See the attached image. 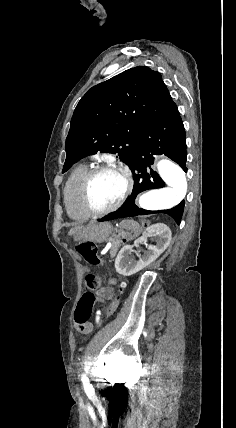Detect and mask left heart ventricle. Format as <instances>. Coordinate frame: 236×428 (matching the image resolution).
<instances>
[{"label": "left heart ventricle", "instance_id": "left-heart-ventricle-1", "mask_svg": "<svg viewBox=\"0 0 236 428\" xmlns=\"http://www.w3.org/2000/svg\"><path fill=\"white\" fill-rule=\"evenodd\" d=\"M126 181L117 170H108L97 175L90 186V199L97 208L116 204L123 196Z\"/></svg>", "mask_w": 236, "mask_h": 428}]
</instances>
